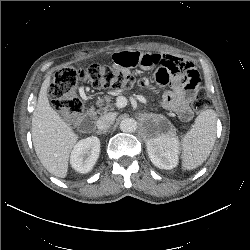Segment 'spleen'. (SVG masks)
I'll return each mask as SVG.
<instances>
[{"mask_svg":"<svg viewBox=\"0 0 250 250\" xmlns=\"http://www.w3.org/2000/svg\"><path fill=\"white\" fill-rule=\"evenodd\" d=\"M216 139V113L212 109L202 111L191 130L182 140V166L192 170L209 157Z\"/></svg>","mask_w":250,"mask_h":250,"instance_id":"3e777b00","label":"spleen"}]
</instances>
